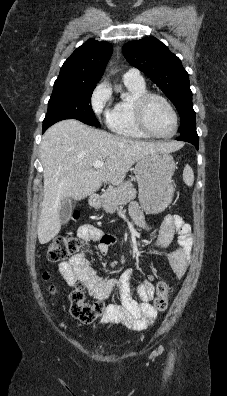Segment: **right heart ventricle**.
<instances>
[{"instance_id": "e07e8e85", "label": "right heart ventricle", "mask_w": 227, "mask_h": 396, "mask_svg": "<svg viewBox=\"0 0 227 396\" xmlns=\"http://www.w3.org/2000/svg\"><path fill=\"white\" fill-rule=\"evenodd\" d=\"M124 84L129 92V97L118 100L106 119L108 128L115 134L129 138H148L138 126L135 113L134 103L137 98L147 92L144 82L126 81Z\"/></svg>"}]
</instances>
